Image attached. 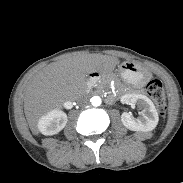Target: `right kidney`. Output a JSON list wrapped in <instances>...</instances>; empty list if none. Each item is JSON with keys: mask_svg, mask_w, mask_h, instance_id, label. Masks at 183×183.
Wrapping results in <instances>:
<instances>
[{"mask_svg": "<svg viewBox=\"0 0 183 183\" xmlns=\"http://www.w3.org/2000/svg\"><path fill=\"white\" fill-rule=\"evenodd\" d=\"M67 123V115L58 109L44 114L38 121V129L44 135H54L60 132Z\"/></svg>", "mask_w": 183, "mask_h": 183, "instance_id": "obj_1", "label": "right kidney"}]
</instances>
